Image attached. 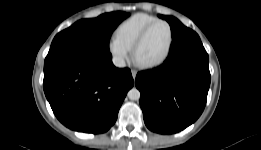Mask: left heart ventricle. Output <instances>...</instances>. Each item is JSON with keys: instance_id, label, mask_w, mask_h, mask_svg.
Instances as JSON below:
<instances>
[{"instance_id": "b2bd125f", "label": "left heart ventricle", "mask_w": 261, "mask_h": 150, "mask_svg": "<svg viewBox=\"0 0 261 150\" xmlns=\"http://www.w3.org/2000/svg\"><path fill=\"white\" fill-rule=\"evenodd\" d=\"M169 45V30L165 24L156 25L148 34L137 53V59L143 63L159 60Z\"/></svg>"}]
</instances>
